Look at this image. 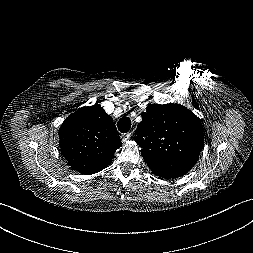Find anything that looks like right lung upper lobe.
<instances>
[{"instance_id":"right-lung-upper-lobe-1","label":"right lung upper lobe","mask_w":253,"mask_h":253,"mask_svg":"<svg viewBox=\"0 0 253 253\" xmlns=\"http://www.w3.org/2000/svg\"><path fill=\"white\" fill-rule=\"evenodd\" d=\"M58 134L61 155L72 169L84 175L105 169L122 145L113 119L99 104L68 116Z\"/></svg>"}]
</instances>
